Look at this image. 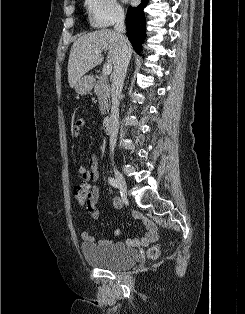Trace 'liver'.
Wrapping results in <instances>:
<instances>
[{
  "label": "liver",
  "mask_w": 245,
  "mask_h": 314,
  "mask_svg": "<svg viewBox=\"0 0 245 314\" xmlns=\"http://www.w3.org/2000/svg\"><path fill=\"white\" fill-rule=\"evenodd\" d=\"M96 50H108L107 61L114 65L120 50L119 34L114 30L102 29L84 34L73 43L68 60V82L71 88L85 73L103 61L101 53H94Z\"/></svg>",
  "instance_id": "liver-1"
}]
</instances>
